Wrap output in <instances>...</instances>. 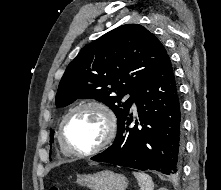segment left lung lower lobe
Here are the masks:
<instances>
[{
  "mask_svg": "<svg viewBox=\"0 0 221 190\" xmlns=\"http://www.w3.org/2000/svg\"><path fill=\"white\" fill-rule=\"evenodd\" d=\"M134 102L139 123L129 112L117 125L114 143L91 159L177 176L181 172V105L169 56L138 89Z\"/></svg>",
  "mask_w": 221,
  "mask_h": 190,
  "instance_id": "1",
  "label": "left lung lower lobe"
}]
</instances>
